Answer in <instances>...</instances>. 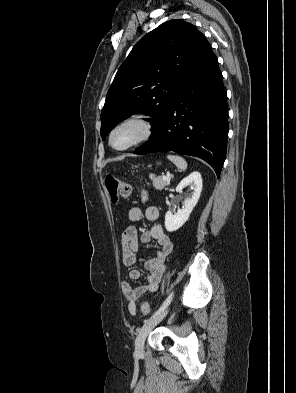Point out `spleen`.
<instances>
[{
	"label": "spleen",
	"instance_id": "3e777b00",
	"mask_svg": "<svg viewBox=\"0 0 296 393\" xmlns=\"http://www.w3.org/2000/svg\"><path fill=\"white\" fill-rule=\"evenodd\" d=\"M167 158L173 162L181 171H185L187 169V162L184 158L177 155H168Z\"/></svg>",
	"mask_w": 296,
	"mask_h": 393
}]
</instances>
